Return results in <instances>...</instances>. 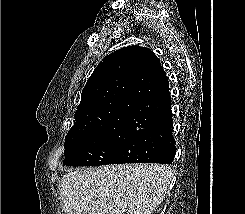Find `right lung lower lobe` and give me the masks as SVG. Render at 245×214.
<instances>
[{"label":"right lung lower lobe","mask_w":245,"mask_h":214,"mask_svg":"<svg viewBox=\"0 0 245 214\" xmlns=\"http://www.w3.org/2000/svg\"><path fill=\"white\" fill-rule=\"evenodd\" d=\"M140 113L118 146V163L171 164L176 152L172 136L171 98L168 80L156 94L138 98Z\"/></svg>","instance_id":"98d812e1"}]
</instances>
